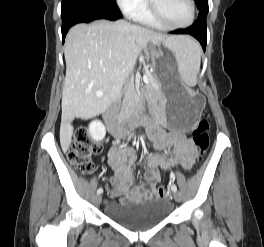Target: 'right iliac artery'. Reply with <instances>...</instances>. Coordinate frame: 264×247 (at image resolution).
Listing matches in <instances>:
<instances>
[{
    "instance_id": "right-iliac-artery-1",
    "label": "right iliac artery",
    "mask_w": 264,
    "mask_h": 247,
    "mask_svg": "<svg viewBox=\"0 0 264 247\" xmlns=\"http://www.w3.org/2000/svg\"><path fill=\"white\" fill-rule=\"evenodd\" d=\"M131 138V136L129 137V139ZM103 192V189L102 188H99L98 190H97V194H101Z\"/></svg>"
}]
</instances>
